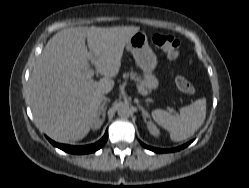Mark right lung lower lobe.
Wrapping results in <instances>:
<instances>
[{"instance_id":"right-lung-lower-lobe-1","label":"right lung lower lobe","mask_w":249,"mask_h":188,"mask_svg":"<svg viewBox=\"0 0 249 188\" xmlns=\"http://www.w3.org/2000/svg\"><path fill=\"white\" fill-rule=\"evenodd\" d=\"M107 139H108V131H106L105 135L98 142L91 144V145H86V146H71V145L58 144L50 139L49 141L54 146L62 149L65 152L73 153V154H86V153L95 152L98 149H100L105 144Z\"/></svg>"}]
</instances>
